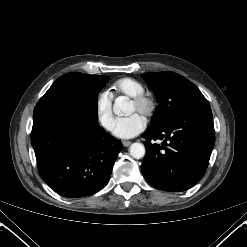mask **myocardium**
<instances>
[{
  "label": "myocardium",
  "instance_id": "f54148a6",
  "mask_svg": "<svg viewBox=\"0 0 247 247\" xmlns=\"http://www.w3.org/2000/svg\"><path fill=\"white\" fill-rule=\"evenodd\" d=\"M131 103H133L137 111L142 115L149 117L153 114L155 110L154 99L146 94H140L131 98Z\"/></svg>",
  "mask_w": 247,
  "mask_h": 247
}]
</instances>
